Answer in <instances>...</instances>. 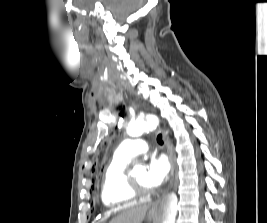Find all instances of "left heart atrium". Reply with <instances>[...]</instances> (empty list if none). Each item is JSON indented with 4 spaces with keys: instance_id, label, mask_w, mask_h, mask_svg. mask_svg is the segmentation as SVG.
<instances>
[{
    "instance_id": "obj_1",
    "label": "left heart atrium",
    "mask_w": 267,
    "mask_h": 223,
    "mask_svg": "<svg viewBox=\"0 0 267 223\" xmlns=\"http://www.w3.org/2000/svg\"><path fill=\"white\" fill-rule=\"evenodd\" d=\"M170 168V161L165 155L152 157L145 175L149 187L153 189L160 187L167 179Z\"/></svg>"
}]
</instances>
